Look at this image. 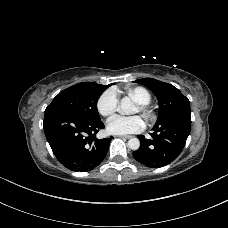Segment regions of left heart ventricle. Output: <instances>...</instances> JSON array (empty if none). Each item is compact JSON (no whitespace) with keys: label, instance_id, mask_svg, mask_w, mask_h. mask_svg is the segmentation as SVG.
I'll return each instance as SVG.
<instances>
[{"label":"left heart ventricle","instance_id":"left-heart-ventricle-1","mask_svg":"<svg viewBox=\"0 0 228 228\" xmlns=\"http://www.w3.org/2000/svg\"><path fill=\"white\" fill-rule=\"evenodd\" d=\"M138 113H139V109H138L137 106H135L134 111H133V114H138Z\"/></svg>","mask_w":228,"mask_h":228}]
</instances>
